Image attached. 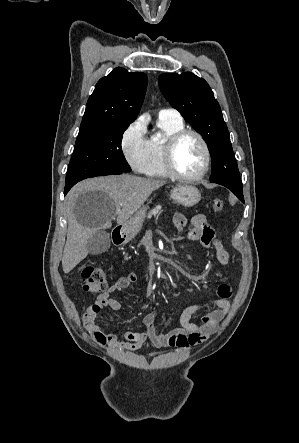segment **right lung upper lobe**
<instances>
[{"label": "right lung upper lobe", "mask_w": 299, "mask_h": 443, "mask_svg": "<svg viewBox=\"0 0 299 443\" xmlns=\"http://www.w3.org/2000/svg\"><path fill=\"white\" fill-rule=\"evenodd\" d=\"M146 86L144 73L115 68L96 84L79 132L112 123L133 122L143 102Z\"/></svg>", "instance_id": "1"}]
</instances>
